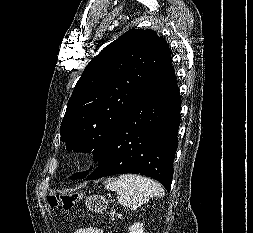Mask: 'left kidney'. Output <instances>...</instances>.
Returning a JSON list of instances; mask_svg holds the SVG:
<instances>
[{"mask_svg": "<svg viewBox=\"0 0 253 233\" xmlns=\"http://www.w3.org/2000/svg\"><path fill=\"white\" fill-rule=\"evenodd\" d=\"M128 233H144L143 223L136 222L129 227Z\"/></svg>", "mask_w": 253, "mask_h": 233, "instance_id": "1", "label": "left kidney"}]
</instances>
